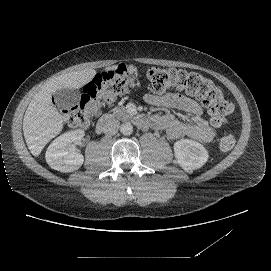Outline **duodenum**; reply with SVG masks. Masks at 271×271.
Returning <instances> with one entry per match:
<instances>
[{"instance_id": "1", "label": "duodenum", "mask_w": 271, "mask_h": 271, "mask_svg": "<svg viewBox=\"0 0 271 271\" xmlns=\"http://www.w3.org/2000/svg\"><path fill=\"white\" fill-rule=\"evenodd\" d=\"M140 123L145 125L146 121L141 120ZM116 128L117 123L111 116L102 117L96 125V131L102 134H112L115 132Z\"/></svg>"}]
</instances>
